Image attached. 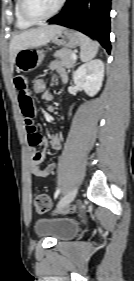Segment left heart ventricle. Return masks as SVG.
I'll return each mask as SVG.
<instances>
[{
    "label": "left heart ventricle",
    "mask_w": 134,
    "mask_h": 281,
    "mask_svg": "<svg viewBox=\"0 0 134 281\" xmlns=\"http://www.w3.org/2000/svg\"><path fill=\"white\" fill-rule=\"evenodd\" d=\"M27 5L31 13L36 16H45L51 13L60 0H27Z\"/></svg>",
    "instance_id": "obj_1"
}]
</instances>
